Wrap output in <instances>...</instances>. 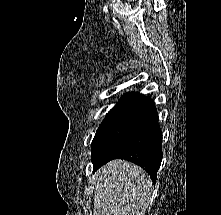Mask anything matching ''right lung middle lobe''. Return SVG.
<instances>
[{"label":"right lung middle lobe","mask_w":221,"mask_h":215,"mask_svg":"<svg viewBox=\"0 0 221 215\" xmlns=\"http://www.w3.org/2000/svg\"><path fill=\"white\" fill-rule=\"evenodd\" d=\"M130 103L131 101H120L109 111L106 118L99 126L92 141V153L95 151L100 142L106 137L117 120L122 116Z\"/></svg>","instance_id":"1"}]
</instances>
